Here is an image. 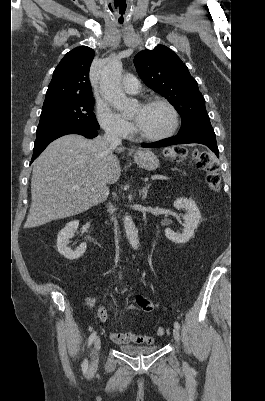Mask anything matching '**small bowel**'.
Instances as JSON below:
<instances>
[{"mask_svg": "<svg viewBox=\"0 0 265 401\" xmlns=\"http://www.w3.org/2000/svg\"><path fill=\"white\" fill-rule=\"evenodd\" d=\"M136 304L133 305H128L126 307L127 310H141L147 313L152 312L156 304H154L152 301L144 298L143 296L137 295L135 297ZM145 306V308H144ZM98 317L102 322H106L108 320V314L107 311L104 307H100L98 310ZM109 338L117 343V344H128V343H135V344H153L154 343V338L151 336H146V335H137L134 334L130 331H126L123 333H118V332H109Z\"/></svg>", "mask_w": 265, "mask_h": 401, "instance_id": "obj_1", "label": "small bowel"}]
</instances>
